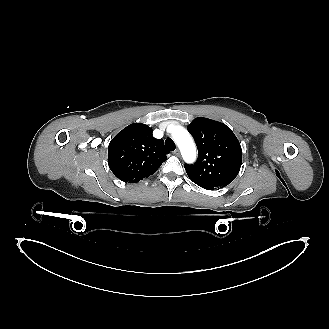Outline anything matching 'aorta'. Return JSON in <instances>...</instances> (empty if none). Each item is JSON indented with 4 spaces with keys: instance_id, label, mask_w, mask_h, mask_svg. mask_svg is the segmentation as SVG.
I'll use <instances>...</instances> for the list:
<instances>
[{
    "instance_id": "1",
    "label": "aorta",
    "mask_w": 329,
    "mask_h": 329,
    "mask_svg": "<svg viewBox=\"0 0 329 329\" xmlns=\"http://www.w3.org/2000/svg\"><path fill=\"white\" fill-rule=\"evenodd\" d=\"M172 139L179 147L183 160L186 163H193L196 160V146L190 133L181 126L172 128Z\"/></svg>"
}]
</instances>
